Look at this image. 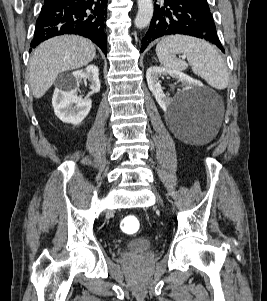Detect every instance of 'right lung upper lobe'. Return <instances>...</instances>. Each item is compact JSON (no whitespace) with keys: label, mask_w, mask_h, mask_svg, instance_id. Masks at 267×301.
Returning a JSON list of instances; mask_svg holds the SVG:
<instances>
[{"label":"right lung upper lobe","mask_w":267,"mask_h":301,"mask_svg":"<svg viewBox=\"0 0 267 301\" xmlns=\"http://www.w3.org/2000/svg\"><path fill=\"white\" fill-rule=\"evenodd\" d=\"M54 0H45V4L46 3H50V2H53Z\"/></svg>","instance_id":"obj_1"}]
</instances>
